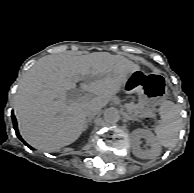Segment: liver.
<instances>
[{"instance_id":"1","label":"liver","mask_w":194,"mask_h":193,"mask_svg":"<svg viewBox=\"0 0 194 193\" xmlns=\"http://www.w3.org/2000/svg\"><path fill=\"white\" fill-rule=\"evenodd\" d=\"M139 70L138 64L108 52L40 58L22 76L14 99L21 136L36 149L60 151L85 131L87 111L107 105ZM78 81L94 97L68 99Z\"/></svg>"}]
</instances>
